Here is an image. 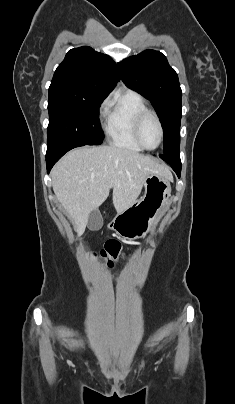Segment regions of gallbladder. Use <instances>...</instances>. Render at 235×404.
Segmentation results:
<instances>
[{
  "mask_svg": "<svg viewBox=\"0 0 235 404\" xmlns=\"http://www.w3.org/2000/svg\"><path fill=\"white\" fill-rule=\"evenodd\" d=\"M103 225V219L100 212L97 209H94L90 212L87 226L90 230L96 231L99 230Z\"/></svg>",
  "mask_w": 235,
  "mask_h": 404,
  "instance_id": "bac80fb5",
  "label": "gallbladder"
}]
</instances>
